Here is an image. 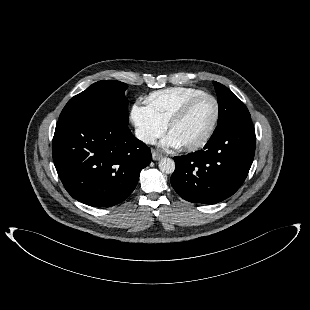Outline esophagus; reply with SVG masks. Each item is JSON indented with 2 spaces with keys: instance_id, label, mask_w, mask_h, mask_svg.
Segmentation results:
<instances>
[{
  "instance_id": "34e87169",
  "label": "esophagus",
  "mask_w": 310,
  "mask_h": 310,
  "mask_svg": "<svg viewBox=\"0 0 310 310\" xmlns=\"http://www.w3.org/2000/svg\"><path fill=\"white\" fill-rule=\"evenodd\" d=\"M163 157V155L161 153H159L156 150H152V159L157 161L159 159H161Z\"/></svg>"
}]
</instances>
